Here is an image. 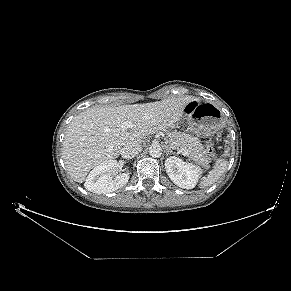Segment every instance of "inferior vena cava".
Returning <instances> with one entry per match:
<instances>
[{"mask_svg": "<svg viewBox=\"0 0 291 291\" xmlns=\"http://www.w3.org/2000/svg\"><path fill=\"white\" fill-rule=\"evenodd\" d=\"M141 149V145L138 143L126 144L121 150V156L125 159H132L141 152Z\"/></svg>", "mask_w": 291, "mask_h": 291, "instance_id": "1", "label": "inferior vena cava"}]
</instances>
